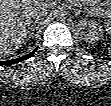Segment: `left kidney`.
Segmentation results:
<instances>
[{
    "label": "left kidney",
    "mask_w": 111,
    "mask_h": 106,
    "mask_svg": "<svg viewBox=\"0 0 111 106\" xmlns=\"http://www.w3.org/2000/svg\"><path fill=\"white\" fill-rule=\"evenodd\" d=\"M78 30L83 40L93 43L102 35V27L94 20L82 19L78 22Z\"/></svg>",
    "instance_id": "obj_1"
}]
</instances>
